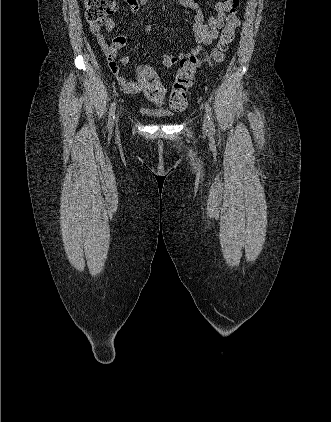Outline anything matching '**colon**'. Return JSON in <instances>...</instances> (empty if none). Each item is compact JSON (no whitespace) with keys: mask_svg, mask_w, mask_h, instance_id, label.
Listing matches in <instances>:
<instances>
[{"mask_svg":"<svg viewBox=\"0 0 331 422\" xmlns=\"http://www.w3.org/2000/svg\"><path fill=\"white\" fill-rule=\"evenodd\" d=\"M240 0H233L232 8L227 16L226 24L221 31L219 40L207 55L209 64L219 63L235 39V31L240 24L238 6ZM86 19L93 24L100 23L106 16L117 8L116 0H84ZM201 60L195 57L184 59L179 64L175 80L170 93V107L175 111H182L187 106V92L192 87L200 69ZM137 78L143 87L144 96L153 102L162 100L165 88L157 73L148 66H141L137 70Z\"/></svg>","mask_w":331,"mask_h":422,"instance_id":"1","label":"colon"}]
</instances>
